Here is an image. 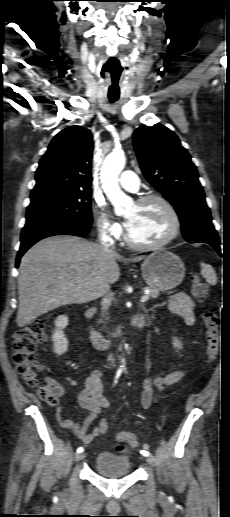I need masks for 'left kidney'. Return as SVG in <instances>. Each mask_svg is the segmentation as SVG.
<instances>
[{
    "mask_svg": "<svg viewBox=\"0 0 230 517\" xmlns=\"http://www.w3.org/2000/svg\"><path fill=\"white\" fill-rule=\"evenodd\" d=\"M173 346H174L175 348H177V349H181L182 344H181V342H180L177 338H174V339H173Z\"/></svg>",
    "mask_w": 230,
    "mask_h": 517,
    "instance_id": "1",
    "label": "left kidney"
}]
</instances>
